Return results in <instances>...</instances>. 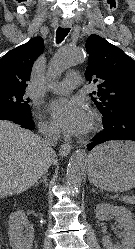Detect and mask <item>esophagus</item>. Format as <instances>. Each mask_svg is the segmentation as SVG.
<instances>
[{"label":"esophagus","mask_w":135,"mask_h":249,"mask_svg":"<svg viewBox=\"0 0 135 249\" xmlns=\"http://www.w3.org/2000/svg\"><path fill=\"white\" fill-rule=\"evenodd\" d=\"M61 26L64 28H69L72 26V21L68 20V19L62 20ZM71 151H72V146L69 143L61 144V146L59 148V153L62 156L68 155Z\"/></svg>","instance_id":"1"}]
</instances>
